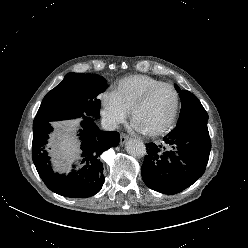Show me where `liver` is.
Wrapping results in <instances>:
<instances>
[{
  "mask_svg": "<svg viewBox=\"0 0 248 248\" xmlns=\"http://www.w3.org/2000/svg\"><path fill=\"white\" fill-rule=\"evenodd\" d=\"M78 120L56 122L54 125L62 128L64 133H57V140L54 138L50 142L51 153L55 160V166L58 170L69 171L72 162L79 156V144L75 138L69 136L68 131L74 130Z\"/></svg>",
  "mask_w": 248,
  "mask_h": 248,
  "instance_id": "6515ba94",
  "label": "liver"
}]
</instances>
